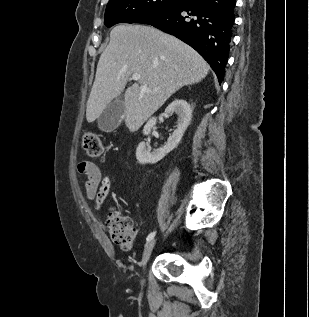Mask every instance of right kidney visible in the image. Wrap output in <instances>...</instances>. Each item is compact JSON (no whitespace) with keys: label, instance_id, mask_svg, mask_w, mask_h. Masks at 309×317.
<instances>
[{"label":"right kidney","instance_id":"right-kidney-1","mask_svg":"<svg viewBox=\"0 0 309 317\" xmlns=\"http://www.w3.org/2000/svg\"><path fill=\"white\" fill-rule=\"evenodd\" d=\"M166 114L176 113L178 115V121L176 129L173 134L168 138L167 143L163 148H159L151 152L146 148L145 142L139 143L136 150V158L140 164H155L163 159L169 152L177 147L181 141L185 130L189 126L192 118V109L189 103L183 99L174 100L165 109ZM157 119L151 118L144 126L143 134H150L152 128L156 125Z\"/></svg>","mask_w":309,"mask_h":317}]
</instances>
